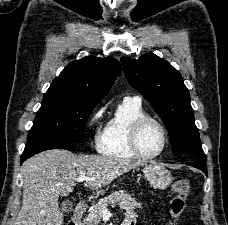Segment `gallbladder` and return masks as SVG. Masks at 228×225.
I'll return each instance as SVG.
<instances>
[{
    "label": "gallbladder",
    "mask_w": 228,
    "mask_h": 225,
    "mask_svg": "<svg viewBox=\"0 0 228 225\" xmlns=\"http://www.w3.org/2000/svg\"><path fill=\"white\" fill-rule=\"evenodd\" d=\"M73 207L74 205L71 201H64V203H61L60 205L62 213H71V211H73Z\"/></svg>",
    "instance_id": "gallbladder-1"
}]
</instances>
